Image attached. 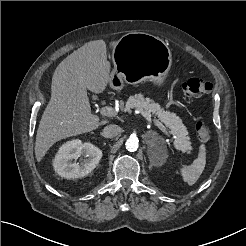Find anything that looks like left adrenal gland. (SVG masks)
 <instances>
[{"label": "left adrenal gland", "mask_w": 246, "mask_h": 246, "mask_svg": "<svg viewBox=\"0 0 246 246\" xmlns=\"http://www.w3.org/2000/svg\"><path fill=\"white\" fill-rule=\"evenodd\" d=\"M147 135H153L154 136L153 139H151V140H147L145 138V141L148 144V148H151L152 146H154L156 141H158V140H161L162 141L163 140V138L161 136H159L154 131H149Z\"/></svg>", "instance_id": "a2214340"}]
</instances>
